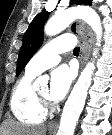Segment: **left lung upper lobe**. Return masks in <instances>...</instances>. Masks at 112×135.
I'll list each match as a JSON object with an SVG mask.
<instances>
[{
  "label": "left lung upper lobe",
  "mask_w": 112,
  "mask_h": 135,
  "mask_svg": "<svg viewBox=\"0 0 112 135\" xmlns=\"http://www.w3.org/2000/svg\"><path fill=\"white\" fill-rule=\"evenodd\" d=\"M92 0H71V4L91 5ZM49 17L47 11L38 14L30 23L23 37V44L19 52L16 76L24 69L33 54L43 42V26Z\"/></svg>",
  "instance_id": "left-lung-upper-lobe-1"
}]
</instances>
